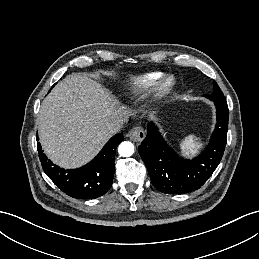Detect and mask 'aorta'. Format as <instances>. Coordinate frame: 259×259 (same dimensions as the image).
<instances>
[{
    "label": "aorta",
    "instance_id": "aorta-1",
    "mask_svg": "<svg viewBox=\"0 0 259 259\" xmlns=\"http://www.w3.org/2000/svg\"><path fill=\"white\" fill-rule=\"evenodd\" d=\"M118 152L122 157H129L134 153V145L129 141H124L119 145Z\"/></svg>",
    "mask_w": 259,
    "mask_h": 259
}]
</instances>
